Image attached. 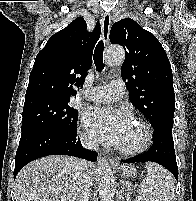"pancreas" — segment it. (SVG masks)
Returning a JSON list of instances; mask_svg holds the SVG:
<instances>
[{
    "label": "pancreas",
    "mask_w": 196,
    "mask_h": 201,
    "mask_svg": "<svg viewBox=\"0 0 196 201\" xmlns=\"http://www.w3.org/2000/svg\"><path fill=\"white\" fill-rule=\"evenodd\" d=\"M125 197H126V201H131L130 190H127V192L125 193Z\"/></svg>",
    "instance_id": "obj_1"
}]
</instances>
